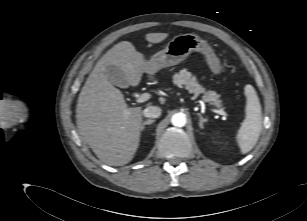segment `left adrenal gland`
<instances>
[{"instance_id": "a2214340", "label": "left adrenal gland", "mask_w": 307, "mask_h": 221, "mask_svg": "<svg viewBox=\"0 0 307 221\" xmlns=\"http://www.w3.org/2000/svg\"><path fill=\"white\" fill-rule=\"evenodd\" d=\"M197 115L200 118V120H199V127L203 129L204 128V123L206 122V118H204L200 113H197Z\"/></svg>"}]
</instances>
